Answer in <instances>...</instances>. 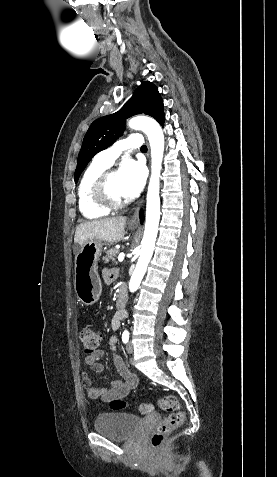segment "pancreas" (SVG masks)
I'll use <instances>...</instances> for the list:
<instances>
[{
  "label": "pancreas",
  "mask_w": 277,
  "mask_h": 477,
  "mask_svg": "<svg viewBox=\"0 0 277 477\" xmlns=\"http://www.w3.org/2000/svg\"><path fill=\"white\" fill-rule=\"evenodd\" d=\"M118 253V250L115 249V248H111L110 250H108L106 252L107 256L105 257V262L109 263V262H115L116 259V255Z\"/></svg>",
  "instance_id": "1"
}]
</instances>
